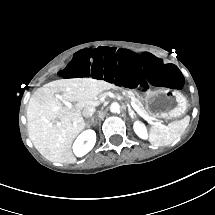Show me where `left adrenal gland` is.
I'll return each mask as SVG.
<instances>
[{
  "instance_id": "1",
  "label": "left adrenal gland",
  "mask_w": 215,
  "mask_h": 215,
  "mask_svg": "<svg viewBox=\"0 0 215 215\" xmlns=\"http://www.w3.org/2000/svg\"><path fill=\"white\" fill-rule=\"evenodd\" d=\"M128 112H129V115L132 119H135L137 116H136V113L133 112L131 109H128Z\"/></svg>"
}]
</instances>
